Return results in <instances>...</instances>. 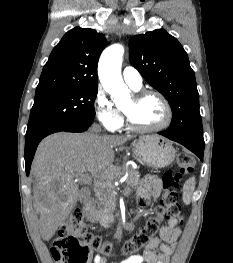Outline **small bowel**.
<instances>
[{
  "instance_id": "1",
  "label": "small bowel",
  "mask_w": 233,
  "mask_h": 263,
  "mask_svg": "<svg viewBox=\"0 0 233 263\" xmlns=\"http://www.w3.org/2000/svg\"><path fill=\"white\" fill-rule=\"evenodd\" d=\"M161 180L155 175L144 178L137 190V198L142 209L148 207L150 200H157L161 194ZM181 233L178 221L168 219L160 230L159 237L150 240L145 249L123 260L108 261L102 255H96L92 263H169L176 241Z\"/></svg>"
}]
</instances>
